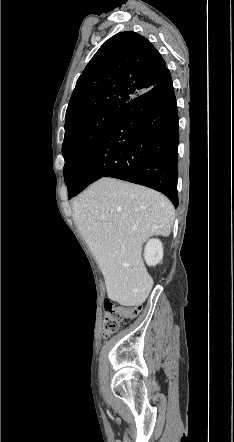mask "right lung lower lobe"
<instances>
[{
    "label": "right lung lower lobe",
    "instance_id": "1",
    "mask_svg": "<svg viewBox=\"0 0 234 442\" xmlns=\"http://www.w3.org/2000/svg\"><path fill=\"white\" fill-rule=\"evenodd\" d=\"M178 143L176 97L167 69L151 89L120 108L102 138L77 162L68 198L106 176L160 191L177 207Z\"/></svg>",
    "mask_w": 234,
    "mask_h": 442
}]
</instances>
